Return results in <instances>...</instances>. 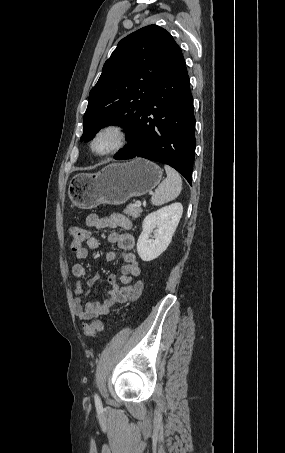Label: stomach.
<instances>
[{
  "instance_id": "0dacf381",
  "label": "stomach",
  "mask_w": 285,
  "mask_h": 453,
  "mask_svg": "<svg viewBox=\"0 0 285 453\" xmlns=\"http://www.w3.org/2000/svg\"><path fill=\"white\" fill-rule=\"evenodd\" d=\"M161 178V168L149 160L136 158L112 163L97 173L75 175L69 184L70 200L82 209L100 204L121 205L132 197L150 192Z\"/></svg>"
}]
</instances>
